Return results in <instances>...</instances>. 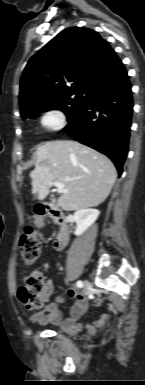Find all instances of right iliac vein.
Segmentation results:
<instances>
[{
    "mask_svg": "<svg viewBox=\"0 0 145 385\" xmlns=\"http://www.w3.org/2000/svg\"><path fill=\"white\" fill-rule=\"evenodd\" d=\"M90 289H91L90 283H89L87 280H85V281H84V285H83L84 293H85V294H88L89 291H90Z\"/></svg>",
    "mask_w": 145,
    "mask_h": 385,
    "instance_id": "right-iliac-vein-1",
    "label": "right iliac vein"
}]
</instances>
